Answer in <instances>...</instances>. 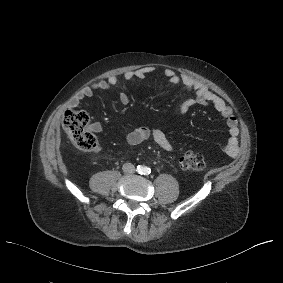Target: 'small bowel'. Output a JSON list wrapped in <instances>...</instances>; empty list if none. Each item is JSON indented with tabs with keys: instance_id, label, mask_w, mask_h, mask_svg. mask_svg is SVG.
<instances>
[{
	"instance_id": "c3829d8e",
	"label": "small bowel",
	"mask_w": 283,
	"mask_h": 283,
	"mask_svg": "<svg viewBox=\"0 0 283 283\" xmlns=\"http://www.w3.org/2000/svg\"><path fill=\"white\" fill-rule=\"evenodd\" d=\"M153 71V67H143L140 69L131 70L124 74V79H144ZM164 77L170 84H182L186 88L194 91V96L186 99L182 103L183 112H187L196 105L211 106L225 119L228 127L229 138L226 144L223 146L222 151L223 154L228 157H235L239 152V125L230 105H228L221 97L211 91L208 87H206L201 81L188 74H177L173 69H166L164 71ZM117 83L118 78L116 76H111L106 80L87 86L73 97L70 105L73 108L78 107L84 99L93 96L95 92L110 90L116 86ZM119 101L123 105L128 104V95L121 93L119 95ZM89 129L91 132L100 133L102 126L99 122H94L90 125ZM150 138L165 151L171 152L175 150L173 143L160 129L139 127L125 135V141L129 145H138Z\"/></svg>"
}]
</instances>
